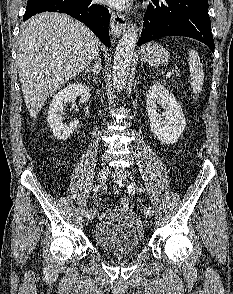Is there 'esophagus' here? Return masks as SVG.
Listing matches in <instances>:
<instances>
[{
    "mask_svg": "<svg viewBox=\"0 0 233 294\" xmlns=\"http://www.w3.org/2000/svg\"><path fill=\"white\" fill-rule=\"evenodd\" d=\"M127 28V19L125 15L111 11V33L118 37L122 31Z\"/></svg>",
    "mask_w": 233,
    "mask_h": 294,
    "instance_id": "1",
    "label": "esophagus"
}]
</instances>
